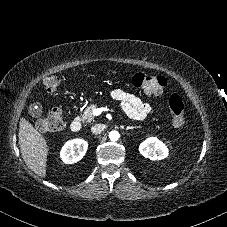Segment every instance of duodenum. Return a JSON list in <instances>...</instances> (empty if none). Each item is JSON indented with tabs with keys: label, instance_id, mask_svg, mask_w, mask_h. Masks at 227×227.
Returning a JSON list of instances; mask_svg holds the SVG:
<instances>
[{
	"label": "duodenum",
	"instance_id": "410a0bca",
	"mask_svg": "<svg viewBox=\"0 0 227 227\" xmlns=\"http://www.w3.org/2000/svg\"><path fill=\"white\" fill-rule=\"evenodd\" d=\"M70 129L73 132H79L82 129V122L80 120V118L76 117L74 119H72V121L70 122Z\"/></svg>",
	"mask_w": 227,
	"mask_h": 227
}]
</instances>
